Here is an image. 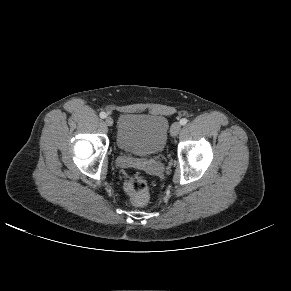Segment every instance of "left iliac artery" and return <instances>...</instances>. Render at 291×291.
<instances>
[{
    "label": "left iliac artery",
    "instance_id": "44dca946",
    "mask_svg": "<svg viewBox=\"0 0 291 291\" xmlns=\"http://www.w3.org/2000/svg\"><path fill=\"white\" fill-rule=\"evenodd\" d=\"M187 121L188 120L186 118H183V119L180 120V124L181 125H185L187 123Z\"/></svg>",
    "mask_w": 291,
    "mask_h": 291
}]
</instances>
